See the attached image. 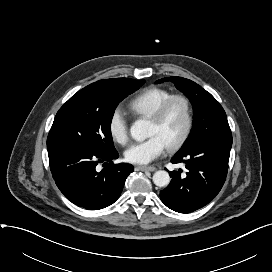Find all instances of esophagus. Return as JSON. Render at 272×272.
Listing matches in <instances>:
<instances>
[{"mask_svg":"<svg viewBox=\"0 0 272 272\" xmlns=\"http://www.w3.org/2000/svg\"><path fill=\"white\" fill-rule=\"evenodd\" d=\"M135 169L138 171H150V172H153L156 170V168L153 166H137Z\"/></svg>","mask_w":272,"mask_h":272,"instance_id":"1","label":"esophagus"}]
</instances>
